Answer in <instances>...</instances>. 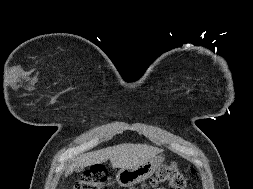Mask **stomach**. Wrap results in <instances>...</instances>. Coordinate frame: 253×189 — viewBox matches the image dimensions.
<instances>
[{"mask_svg": "<svg viewBox=\"0 0 253 189\" xmlns=\"http://www.w3.org/2000/svg\"><path fill=\"white\" fill-rule=\"evenodd\" d=\"M163 162L164 158L162 156H156L140 166L122 168L118 171L116 180L120 186H133L151 177Z\"/></svg>", "mask_w": 253, "mask_h": 189, "instance_id": "stomach-1", "label": "stomach"}]
</instances>
